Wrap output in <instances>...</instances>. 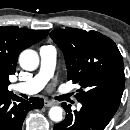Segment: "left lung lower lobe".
Masks as SVG:
<instances>
[{
	"label": "left lung lower lobe",
	"instance_id": "obj_1",
	"mask_svg": "<svg viewBox=\"0 0 130 130\" xmlns=\"http://www.w3.org/2000/svg\"><path fill=\"white\" fill-rule=\"evenodd\" d=\"M82 107L72 112L71 105L62 103L66 118L54 125L53 130H103L118 108L101 100H80Z\"/></svg>",
	"mask_w": 130,
	"mask_h": 130
}]
</instances>
